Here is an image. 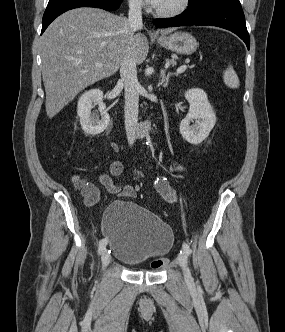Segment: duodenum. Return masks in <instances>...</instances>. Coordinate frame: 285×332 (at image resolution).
Returning a JSON list of instances; mask_svg holds the SVG:
<instances>
[{
  "mask_svg": "<svg viewBox=\"0 0 285 332\" xmlns=\"http://www.w3.org/2000/svg\"><path fill=\"white\" fill-rule=\"evenodd\" d=\"M151 130H152L151 122H149V121L143 122L137 130V136L143 137V136L147 135L148 133H150Z\"/></svg>",
  "mask_w": 285,
  "mask_h": 332,
  "instance_id": "410a0bca",
  "label": "duodenum"
}]
</instances>
